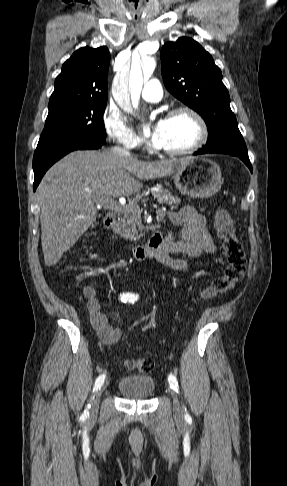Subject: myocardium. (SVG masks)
I'll list each match as a JSON object with an SVG mask.
<instances>
[{
	"label": "myocardium",
	"mask_w": 287,
	"mask_h": 486,
	"mask_svg": "<svg viewBox=\"0 0 287 486\" xmlns=\"http://www.w3.org/2000/svg\"><path fill=\"white\" fill-rule=\"evenodd\" d=\"M180 115H187L191 117L194 122L197 125L198 129V135L194 143H192L189 146L179 148V149H162L159 148L158 150L168 156H183L187 154H191L197 150H199L201 147H203L209 136L208 132V127L207 124L204 120V118L194 109L190 107H178L173 110H171L168 115L166 116V119H171Z\"/></svg>",
	"instance_id": "myocardium-1"
}]
</instances>
